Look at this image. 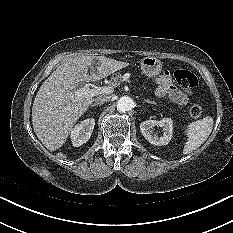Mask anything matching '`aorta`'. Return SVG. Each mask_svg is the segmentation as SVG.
Returning a JSON list of instances; mask_svg holds the SVG:
<instances>
[{
  "label": "aorta",
  "instance_id": "762f6f07",
  "mask_svg": "<svg viewBox=\"0 0 233 233\" xmlns=\"http://www.w3.org/2000/svg\"><path fill=\"white\" fill-rule=\"evenodd\" d=\"M134 102L128 96H122L117 102V110L119 112H127L133 108Z\"/></svg>",
  "mask_w": 233,
  "mask_h": 233
}]
</instances>
